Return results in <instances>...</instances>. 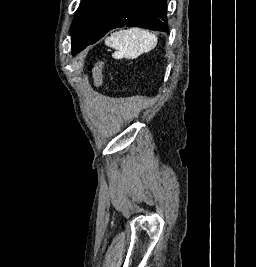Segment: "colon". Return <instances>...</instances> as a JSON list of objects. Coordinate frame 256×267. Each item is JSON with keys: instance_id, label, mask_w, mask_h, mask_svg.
<instances>
[{"instance_id": "colon-1", "label": "colon", "mask_w": 256, "mask_h": 267, "mask_svg": "<svg viewBox=\"0 0 256 267\" xmlns=\"http://www.w3.org/2000/svg\"><path fill=\"white\" fill-rule=\"evenodd\" d=\"M89 71L92 73L94 83L96 86H101L103 83V64L102 62H95L89 65Z\"/></svg>"}]
</instances>
